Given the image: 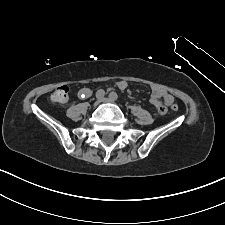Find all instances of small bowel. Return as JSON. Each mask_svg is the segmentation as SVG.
Segmentation results:
<instances>
[{"label":"small bowel","mask_w":225,"mask_h":225,"mask_svg":"<svg viewBox=\"0 0 225 225\" xmlns=\"http://www.w3.org/2000/svg\"><path fill=\"white\" fill-rule=\"evenodd\" d=\"M128 83L125 80H120L116 82V86L123 90L127 87ZM91 94V90L89 88H82L79 91V95L82 97H88ZM174 101L173 96L165 91L164 89L154 86L151 91V103L158 110L161 106L171 105Z\"/></svg>","instance_id":"obj_1"}]
</instances>
